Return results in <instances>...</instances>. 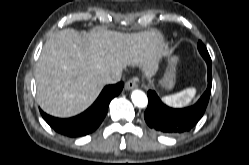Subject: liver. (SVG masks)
<instances>
[{"label":"liver","instance_id":"6515ba94","mask_svg":"<svg viewBox=\"0 0 249 165\" xmlns=\"http://www.w3.org/2000/svg\"><path fill=\"white\" fill-rule=\"evenodd\" d=\"M162 53L155 31L123 34L96 27L81 35L63 29L46 41L37 62V102L49 115L75 116L95 101L103 75L136 65L152 76Z\"/></svg>","mask_w":249,"mask_h":165}]
</instances>
